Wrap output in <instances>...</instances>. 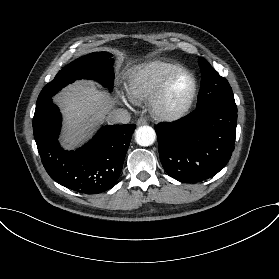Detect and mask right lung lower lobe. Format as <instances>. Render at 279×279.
Instances as JSON below:
<instances>
[{"label": "right lung lower lobe", "mask_w": 279, "mask_h": 279, "mask_svg": "<svg viewBox=\"0 0 279 279\" xmlns=\"http://www.w3.org/2000/svg\"><path fill=\"white\" fill-rule=\"evenodd\" d=\"M60 126L61 115L52 99L36 105L34 138L49 176L81 194H98L113 187L122 171L136 125L105 126L75 151L60 147L57 141Z\"/></svg>", "instance_id": "1"}]
</instances>
